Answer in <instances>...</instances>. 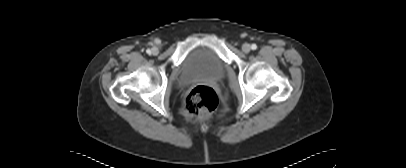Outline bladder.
<instances>
[{"instance_id": "31cf9c89", "label": "bladder", "mask_w": 406, "mask_h": 168, "mask_svg": "<svg viewBox=\"0 0 406 168\" xmlns=\"http://www.w3.org/2000/svg\"><path fill=\"white\" fill-rule=\"evenodd\" d=\"M224 74V62L214 51L197 48L184 59L179 74V84L187 85L200 79L219 80Z\"/></svg>"}]
</instances>
